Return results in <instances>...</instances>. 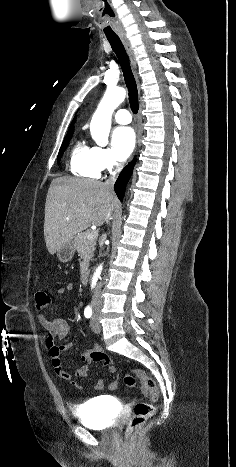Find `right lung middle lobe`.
<instances>
[{
  "label": "right lung middle lobe",
  "instance_id": "obj_1",
  "mask_svg": "<svg viewBox=\"0 0 236 467\" xmlns=\"http://www.w3.org/2000/svg\"><path fill=\"white\" fill-rule=\"evenodd\" d=\"M72 134L73 133H70V134H67L63 143H62V146L60 148V151H59V154H58V160L60 159V157L62 156L63 154V151H65V149L67 148L68 144H69V140L71 139L72 137Z\"/></svg>",
  "mask_w": 236,
  "mask_h": 467
}]
</instances>
